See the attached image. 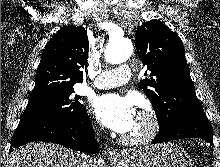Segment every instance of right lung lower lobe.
Listing matches in <instances>:
<instances>
[{
	"label": "right lung lower lobe",
	"mask_w": 220,
	"mask_h": 167,
	"mask_svg": "<svg viewBox=\"0 0 220 167\" xmlns=\"http://www.w3.org/2000/svg\"><path fill=\"white\" fill-rule=\"evenodd\" d=\"M32 141L58 143L88 154H94L98 150L86 109L70 119L50 117L20 122L12 137L10 150Z\"/></svg>",
	"instance_id": "98d812e1"
}]
</instances>
